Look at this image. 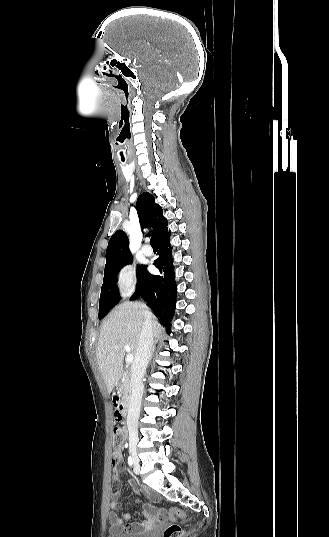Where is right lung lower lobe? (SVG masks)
<instances>
[{"instance_id":"obj_1","label":"right lung lower lobe","mask_w":329,"mask_h":537,"mask_svg":"<svg viewBox=\"0 0 329 537\" xmlns=\"http://www.w3.org/2000/svg\"><path fill=\"white\" fill-rule=\"evenodd\" d=\"M169 238L170 232H167L157 240L160 256L154 261V265L159 269L160 275H152L143 267L140 282L131 296V299L143 298L153 309L160 323L167 325L168 328L176 308L177 295Z\"/></svg>"}]
</instances>
